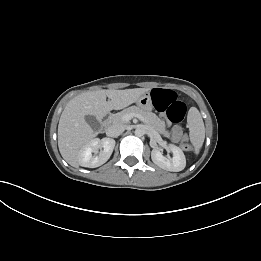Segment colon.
<instances>
[{
    "label": "colon",
    "instance_id": "1",
    "mask_svg": "<svg viewBox=\"0 0 261 261\" xmlns=\"http://www.w3.org/2000/svg\"><path fill=\"white\" fill-rule=\"evenodd\" d=\"M154 107L160 112H166L171 122L182 123L185 119L187 106L178 100L175 92L168 89H154L151 93ZM181 147L186 151H191L193 147L183 137Z\"/></svg>",
    "mask_w": 261,
    "mask_h": 261
}]
</instances>
